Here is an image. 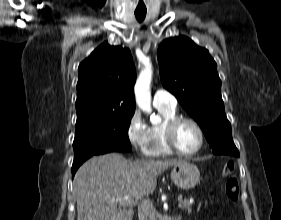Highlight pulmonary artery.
<instances>
[{
    "label": "pulmonary artery",
    "mask_w": 281,
    "mask_h": 220,
    "mask_svg": "<svg viewBox=\"0 0 281 220\" xmlns=\"http://www.w3.org/2000/svg\"><path fill=\"white\" fill-rule=\"evenodd\" d=\"M153 104L155 107H165L175 109L177 100L174 95L164 89H158L153 95Z\"/></svg>",
    "instance_id": "e3ab8cb5"
}]
</instances>
